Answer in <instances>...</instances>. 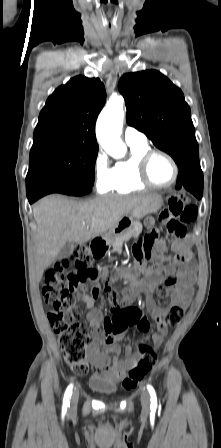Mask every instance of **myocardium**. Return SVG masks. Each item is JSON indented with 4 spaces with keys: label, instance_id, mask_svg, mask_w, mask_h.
Instances as JSON below:
<instances>
[{
    "label": "myocardium",
    "instance_id": "obj_1",
    "mask_svg": "<svg viewBox=\"0 0 221 448\" xmlns=\"http://www.w3.org/2000/svg\"><path fill=\"white\" fill-rule=\"evenodd\" d=\"M157 155H162L165 158H167L168 161L171 163V165L174 168V177L170 182H168L166 184L155 183L152 180L150 173H149L151 160ZM179 175H180V167H179L177 161L174 159V157L172 155H170L166 151L159 150V149H150L139 158L138 177H139V180L146 186L156 188V189L169 188L177 182Z\"/></svg>",
    "mask_w": 221,
    "mask_h": 448
}]
</instances>
